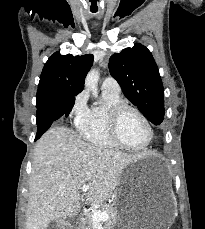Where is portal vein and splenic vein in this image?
Masks as SVG:
<instances>
[{
	"label": "portal vein and splenic vein",
	"instance_id": "portal-vein-and-splenic-vein-1",
	"mask_svg": "<svg viewBox=\"0 0 205 229\" xmlns=\"http://www.w3.org/2000/svg\"><path fill=\"white\" fill-rule=\"evenodd\" d=\"M90 186L88 184H84L82 186V192H87L89 190ZM91 217L93 220V223H99L100 221H105L109 219V214L107 212H102L100 210H94L91 213Z\"/></svg>",
	"mask_w": 205,
	"mask_h": 229
}]
</instances>
